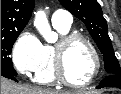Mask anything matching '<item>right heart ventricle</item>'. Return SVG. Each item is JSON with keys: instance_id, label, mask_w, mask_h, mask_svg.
I'll use <instances>...</instances> for the list:
<instances>
[{"instance_id": "right-heart-ventricle-1", "label": "right heart ventricle", "mask_w": 121, "mask_h": 94, "mask_svg": "<svg viewBox=\"0 0 121 94\" xmlns=\"http://www.w3.org/2000/svg\"><path fill=\"white\" fill-rule=\"evenodd\" d=\"M57 32L64 36L70 34L71 28L53 25ZM34 81L39 84L52 85L57 83L53 70V46L41 44V58L37 68L34 70Z\"/></svg>"}]
</instances>
